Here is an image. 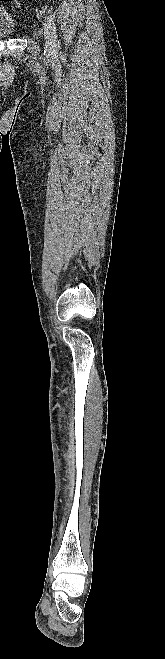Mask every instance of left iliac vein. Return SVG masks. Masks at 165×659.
Segmentation results:
<instances>
[{
  "label": "left iliac vein",
  "mask_w": 165,
  "mask_h": 659,
  "mask_svg": "<svg viewBox=\"0 0 165 659\" xmlns=\"http://www.w3.org/2000/svg\"><path fill=\"white\" fill-rule=\"evenodd\" d=\"M44 37H45V41L48 45H51V44L54 43L52 33L50 31V28L47 25H44Z\"/></svg>",
  "instance_id": "1"
}]
</instances>
